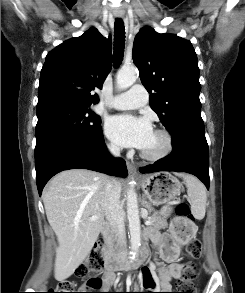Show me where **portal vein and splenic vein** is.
<instances>
[{"instance_id":"portal-vein-and-splenic-vein-1","label":"portal vein and splenic vein","mask_w":245,"mask_h":293,"mask_svg":"<svg viewBox=\"0 0 245 293\" xmlns=\"http://www.w3.org/2000/svg\"><path fill=\"white\" fill-rule=\"evenodd\" d=\"M95 218H97V216H93V217H92V219H95ZM146 224H147V225L151 224V221H150V220L146 221Z\"/></svg>"}]
</instances>
